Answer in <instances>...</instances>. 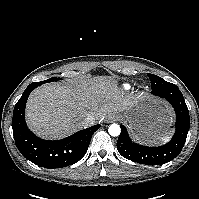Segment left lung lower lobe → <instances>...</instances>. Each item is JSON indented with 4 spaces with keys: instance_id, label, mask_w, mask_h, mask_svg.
<instances>
[{
    "instance_id": "left-lung-lower-lobe-1",
    "label": "left lung lower lobe",
    "mask_w": 199,
    "mask_h": 199,
    "mask_svg": "<svg viewBox=\"0 0 199 199\" xmlns=\"http://www.w3.org/2000/svg\"><path fill=\"white\" fill-rule=\"evenodd\" d=\"M152 94L167 99L176 111V133L169 143L160 147H147L131 141L125 126L117 141L119 153L126 159L146 165L165 164L182 150L190 126L189 111L179 88L174 85L152 91Z\"/></svg>"
}]
</instances>
